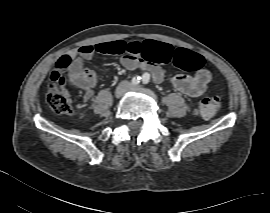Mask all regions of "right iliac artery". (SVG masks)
Instances as JSON below:
<instances>
[{
    "mask_svg": "<svg viewBox=\"0 0 270 213\" xmlns=\"http://www.w3.org/2000/svg\"><path fill=\"white\" fill-rule=\"evenodd\" d=\"M140 80H141V77L138 76V75H136V76H134L132 78L131 83L134 84V85H136V84H138L140 82Z\"/></svg>",
    "mask_w": 270,
    "mask_h": 213,
    "instance_id": "1",
    "label": "right iliac artery"
}]
</instances>
